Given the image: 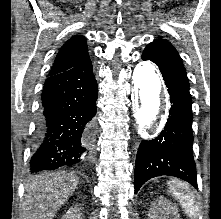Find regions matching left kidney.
<instances>
[{
	"label": "left kidney",
	"instance_id": "1",
	"mask_svg": "<svg viewBox=\"0 0 221 219\" xmlns=\"http://www.w3.org/2000/svg\"><path fill=\"white\" fill-rule=\"evenodd\" d=\"M177 211L172 204L160 197L151 204L149 219H177Z\"/></svg>",
	"mask_w": 221,
	"mask_h": 219
}]
</instances>
